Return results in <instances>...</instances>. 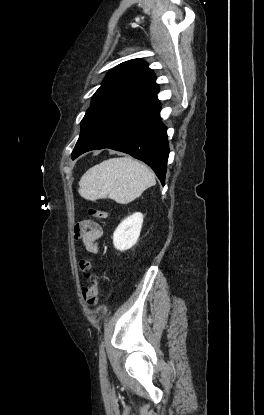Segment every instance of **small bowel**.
<instances>
[{
    "instance_id": "1",
    "label": "small bowel",
    "mask_w": 264,
    "mask_h": 415,
    "mask_svg": "<svg viewBox=\"0 0 264 415\" xmlns=\"http://www.w3.org/2000/svg\"><path fill=\"white\" fill-rule=\"evenodd\" d=\"M76 235L81 238L85 249L89 252H98V240L102 236V227L91 221L80 223L75 229Z\"/></svg>"
}]
</instances>
